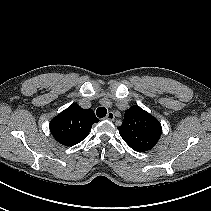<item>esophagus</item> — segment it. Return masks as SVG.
Wrapping results in <instances>:
<instances>
[{"label": "esophagus", "mask_w": 211, "mask_h": 211, "mask_svg": "<svg viewBox=\"0 0 211 211\" xmlns=\"http://www.w3.org/2000/svg\"><path fill=\"white\" fill-rule=\"evenodd\" d=\"M105 119L110 120V121H113L115 119V114L112 111H110L106 115Z\"/></svg>", "instance_id": "esophagus-1"}]
</instances>
